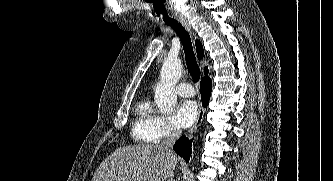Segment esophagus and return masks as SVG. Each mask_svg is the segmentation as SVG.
I'll use <instances>...</instances> for the list:
<instances>
[{"mask_svg": "<svg viewBox=\"0 0 333 181\" xmlns=\"http://www.w3.org/2000/svg\"><path fill=\"white\" fill-rule=\"evenodd\" d=\"M178 20L190 33H192L191 26L189 25V23L186 21L185 18L179 17ZM204 112H205L204 108L201 107L199 110V113H198L197 120L194 123V125L192 126V128L188 131L187 137H189V138L192 137L193 134L195 133V131L197 130V128L200 126V124L202 123L203 118H204Z\"/></svg>", "mask_w": 333, "mask_h": 181, "instance_id": "esophagus-1", "label": "esophagus"}]
</instances>
